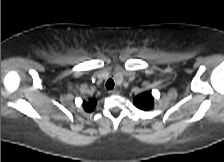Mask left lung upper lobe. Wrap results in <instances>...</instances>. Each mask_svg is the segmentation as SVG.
<instances>
[{
  "instance_id": "left-lung-upper-lobe-1",
  "label": "left lung upper lobe",
  "mask_w": 224,
  "mask_h": 162,
  "mask_svg": "<svg viewBox=\"0 0 224 162\" xmlns=\"http://www.w3.org/2000/svg\"><path fill=\"white\" fill-rule=\"evenodd\" d=\"M134 104L142 110H149L153 107V97L151 94L142 93L134 98Z\"/></svg>"
}]
</instances>
